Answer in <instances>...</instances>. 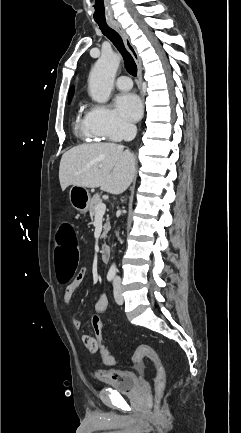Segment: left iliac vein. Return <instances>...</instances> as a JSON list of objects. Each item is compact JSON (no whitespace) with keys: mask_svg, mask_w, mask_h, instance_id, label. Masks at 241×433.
<instances>
[{"mask_svg":"<svg viewBox=\"0 0 241 433\" xmlns=\"http://www.w3.org/2000/svg\"><path fill=\"white\" fill-rule=\"evenodd\" d=\"M114 298L117 304L122 305L124 302L122 291L120 287V283L115 281L114 282Z\"/></svg>","mask_w":241,"mask_h":433,"instance_id":"4c4485c4","label":"left iliac vein"}]
</instances>
